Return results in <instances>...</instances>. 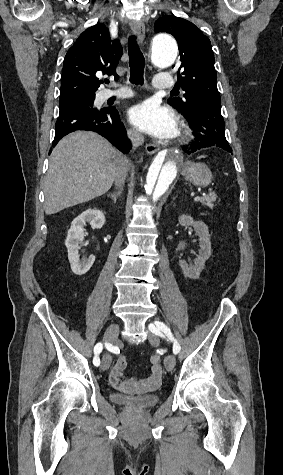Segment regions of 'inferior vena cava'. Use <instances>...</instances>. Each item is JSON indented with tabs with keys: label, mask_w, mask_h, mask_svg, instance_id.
Here are the masks:
<instances>
[{
	"label": "inferior vena cava",
	"mask_w": 283,
	"mask_h": 475,
	"mask_svg": "<svg viewBox=\"0 0 283 475\" xmlns=\"http://www.w3.org/2000/svg\"><path fill=\"white\" fill-rule=\"evenodd\" d=\"M129 140L132 142L133 150L138 148V146H142L144 144V136L140 134V132H136V130H132L128 134ZM129 160H125L122 158L120 164L117 166L116 178H115V186L122 190V186L125 184V178L127 176V172L130 168V164H128Z\"/></svg>",
	"instance_id": "inferior-vena-cava-1"
}]
</instances>
